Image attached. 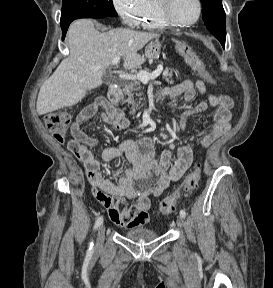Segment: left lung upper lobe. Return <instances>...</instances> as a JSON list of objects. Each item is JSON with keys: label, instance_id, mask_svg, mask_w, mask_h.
Returning a JSON list of instances; mask_svg holds the SVG:
<instances>
[{"label": "left lung upper lobe", "instance_id": "left-lung-upper-lobe-1", "mask_svg": "<svg viewBox=\"0 0 273 288\" xmlns=\"http://www.w3.org/2000/svg\"><path fill=\"white\" fill-rule=\"evenodd\" d=\"M202 9V18L207 29L210 32L216 31L225 33V18L226 14L223 9L221 0H200Z\"/></svg>", "mask_w": 273, "mask_h": 288}]
</instances>
